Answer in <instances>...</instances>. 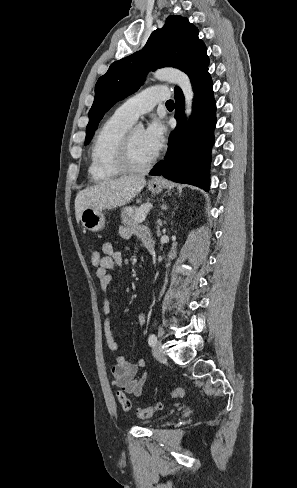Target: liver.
<instances>
[{"mask_svg": "<svg viewBox=\"0 0 297 488\" xmlns=\"http://www.w3.org/2000/svg\"><path fill=\"white\" fill-rule=\"evenodd\" d=\"M143 176H124L107 180L80 191L75 198L76 219L86 208L112 209L129 203L145 186Z\"/></svg>", "mask_w": 297, "mask_h": 488, "instance_id": "6515ba94", "label": "liver"}]
</instances>
